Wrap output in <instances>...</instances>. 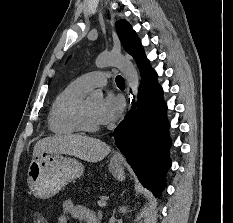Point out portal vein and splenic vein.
Returning <instances> with one entry per match:
<instances>
[{
    "instance_id": "18ae733b",
    "label": "portal vein and splenic vein",
    "mask_w": 233,
    "mask_h": 223,
    "mask_svg": "<svg viewBox=\"0 0 233 223\" xmlns=\"http://www.w3.org/2000/svg\"><path fill=\"white\" fill-rule=\"evenodd\" d=\"M97 205H98V206H107V205H108V202H107V201H98V202H97Z\"/></svg>"
}]
</instances>
